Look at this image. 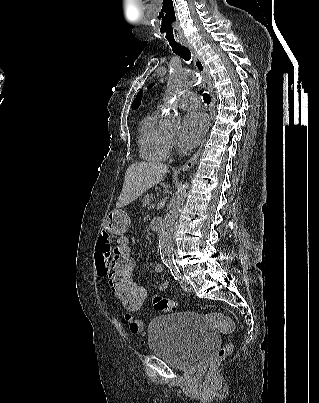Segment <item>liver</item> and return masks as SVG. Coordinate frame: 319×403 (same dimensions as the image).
Here are the masks:
<instances>
[{
  "label": "liver",
  "instance_id": "liver-1",
  "mask_svg": "<svg viewBox=\"0 0 319 403\" xmlns=\"http://www.w3.org/2000/svg\"><path fill=\"white\" fill-rule=\"evenodd\" d=\"M167 172V165L156 162H135L125 173L121 194L116 208L124 207L145 191L157 185Z\"/></svg>",
  "mask_w": 319,
  "mask_h": 403
}]
</instances>
